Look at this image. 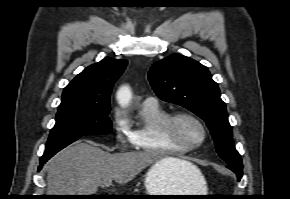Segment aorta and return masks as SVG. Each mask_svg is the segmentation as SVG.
Segmentation results:
<instances>
[{
  "mask_svg": "<svg viewBox=\"0 0 290 199\" xmlns=\"http://www.w3.org/2000/svg\"><path fill=\"white\" fill-rule=\"evenodd\" d=\"M132 98L131 90L128 86H122L117 93V100L123 107L128 106Z\"/></svg>",
  "mask_w": 290,
  "mask_h": 199,
  "instance_id": "aorta-1",
  "label": "aorta"
}]
</instances>
